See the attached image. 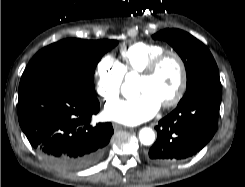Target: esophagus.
I'll use <instances>...</instances> for the list:
<instances>
[{
    "label": "esophagus",
    "mask_w": 245,
    "mask_h": 187,
    "mask_svg": "<svg viewBox=\"0 0 245 187\" xmlns=\"http://www.w3.org/2000/svg\"><path fill=\"white\" fill-rule=\"evenodd\" d=\"M113 128L115 129V130H118V129H126V128H128L127 126H124V125H121V124H118V123H114L113 124Z\"/></svg>",
    "instance_id": "34e87169"
}]
</instances>
